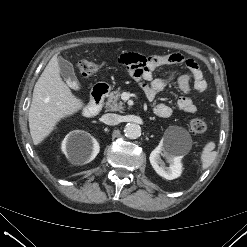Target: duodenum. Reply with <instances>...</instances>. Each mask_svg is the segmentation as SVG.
Here are the masks:
<instances>
[{
	"instance_id": "1",
	"label": "duodenum",
	"mask_w": 247,
	"mask_h": 247,
	"mask_svg": "<svg viewBox=\"0 0 247 247\" xmlns=\"http://www.w3.org/2000/svg\"><path fill=\"white\" fill-rule=\"evenodd\" d=\"M108 91L109 88L106 84H97L94 86L91 92L90 102L83 110L84 116L93 117L98 114Z\"/></svg>"
}]
</instances>
